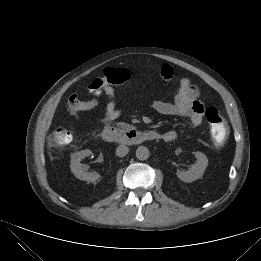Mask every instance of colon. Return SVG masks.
I'll list each match as a JSON object with an SVG mask.
<instances>
[{
	"mask_svg": "<svg viewBox=\"0 0 261 261\" xmlns=\"http://www.w3.org/2000/svg\"><path fill=\"white\" fill-rule=\"evenodd\" d=\"M129 77L130 73L127 69L108 68L102 77L96 78L91 82L88 86V90L94 95H99L104 85H122ZM205 117L209 124L213 142L221 146L226 141L229 132L226 120L214 106H210L206 109ZM72 138V133L68 129L57 127L53 131L50 141L54 145H67L72 141Z\"/></svg>",
	"mask_w": 261,
	"mask_h": 261,
	"instance_id": "5ec220e1",
	"label": "colon"
}]
</instances>
